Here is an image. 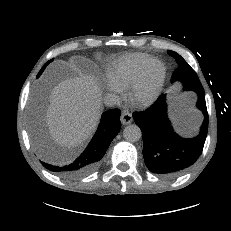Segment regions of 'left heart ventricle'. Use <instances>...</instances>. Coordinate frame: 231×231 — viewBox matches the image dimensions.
<instances>
[{
    "instance_id": "b2bd125f",
    "label": "left heart ventricle",
    "mask_w": 231,
    "mask_h": 231,
    "mask_svg": "<svg viewBox=\"0 0 231 231\" xmlns=\"http://www.w3.org/2000/svg\"><path fill=\"white\" fill-rule=\"evenodd\" d=\"M157 76H158V68H157V67H154V68L150 71V73H149V75H148V78H147L145 84L143 85V87H142V89H141V93H142L143 95L148 94V93L152 90L154 84L156 83Z\"/></svg>"
}]
</instances>
